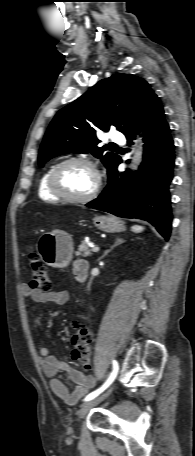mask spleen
I'll return each instance as SVG.
<instances>
[{"label":"spleen","instance_id":"spleen-1","mask_svg":"<svg viewBox=\"0 0 195 456\" xmlns=\"http://www.w3.org/2000/svg\"><path fill=\"white\" fill-rule=\"evenodd\" d=\"M131 230L134 232V233H141L143 230H144V227L143 226H140V225H133L131 227Z\"/></svg>","mask_w":195,"mask_h":456}]
</instances>
